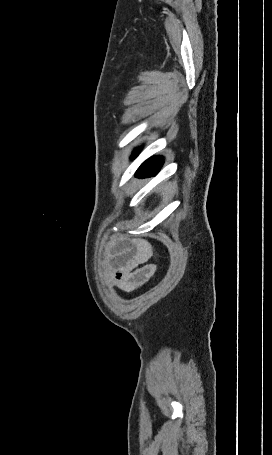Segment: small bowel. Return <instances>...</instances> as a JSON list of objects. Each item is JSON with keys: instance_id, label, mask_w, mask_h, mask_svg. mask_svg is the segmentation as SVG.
Instances as JSON below:
<instances>
[{"instance_id": "small-bowel-1", "label": "small bowel", "mask_w": 272, "mask_h": 455, "mask_svg": "<svg viewBox=\"0 0 272 455\" xmlns=\"http://www.w3.org/2000/svg\"><path fill=\"white\" fill-rule=\"evenodd\" d=\"M151 255V247L144 239L135 238L116 245L108 268L112 285L132 292L147 283L156 272V266L148 263Z\"/></svg>"}]
</instances>
